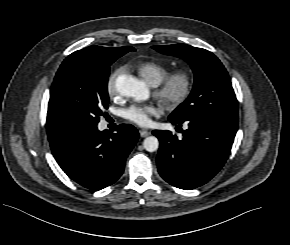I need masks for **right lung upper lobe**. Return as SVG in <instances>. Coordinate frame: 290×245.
<instances>
[{"instance_id":"cb5924a9","label":"right lung upper lobe","mask_w":290,"mask_h":245,"mask_svg":"<svg viewBox=\"0 0 290 245\" xmlns=\"http://www.w3.org/2000/svg\"><path fill=\"white\" fill-rule=\"evenodd\" d=\"M135 49L131 46L119 47V48H106L99 46H90L86 49L79 50L84 53H89L94 56H114L121 53H127L129 51H134ZM73 129L70 125H68L56 111L52 109L51 106L48 105V113H47V135L49 141L54 139L55 137Z\"/></svg>"}]
</instances>
